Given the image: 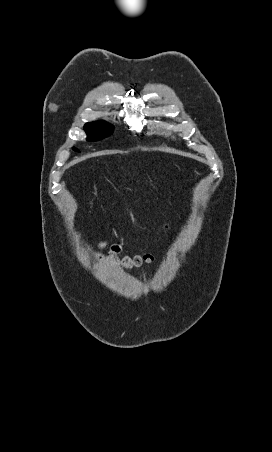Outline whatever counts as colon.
Masks as SVG:
<instances>
[{
	"instance_id": "colon-1",
	"label": "colon",
	"mask_w": 272,
	"mask_h": 452,
	"mask_svg": "<svg viewBox=\"0 0 272 452\" xmlns=\"http://www.w3.org/2000/svg\"><path fill=\"white\" fill-rule=\"evenodd\" d=\"M104 253L98 255V259H102L104 256L112 260L113 262L125 267L138 266L143 262L150 260V255H135V256H123L121 248L118 245L103 246Z\"/></svg>"
}]
</instances>
